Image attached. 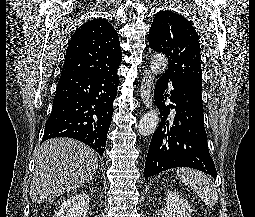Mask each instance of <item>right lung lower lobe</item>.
I'll list each match as a JSON object with an SVG mask.
<instances>
[{
	"label": "right lung lower lobe",
	"instance_id": "right-lung-lower-lobe-1",
	"mask_svg": "<svg viewBox=\"0 0 255 217\" xmlns=\"http://www.w3.org/2000/svg\"><path fill=\"white\" fill-rule=\"evenodd\" d=\"M118 84L117 71L61 75L42 142L55 137L74 138L103 155Z\"/></svg>",
	"mask_w": 255,
	"mask_h": 217
}]
</instances>
